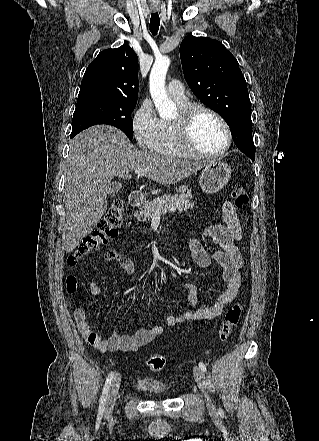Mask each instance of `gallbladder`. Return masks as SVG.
Masks as SVG:
<instances>
[{
	"label": "gallbladder",
	"instance_id": "bac80fb5",
	"mask_svg": "<svg viewBox=\"0 0 319 441\" xmlns=\"http://www.w3.org/2000/svg\"><path fill=\"white\" fill-rule=\"evenodd\" d=\"M122 185L118 182H112L110 185L109 194L113 195L121 189Z\"/></svg>",
	"mask_w": 319,
	"mask_h": 441
}]
</instances>
